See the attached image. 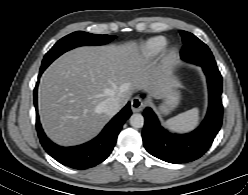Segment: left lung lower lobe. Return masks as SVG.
Listing matches in <instances>:
<instances>
[{
	"mask_svg": "<svg viewBox=\"0 0 248 195\" xmlns=\"http://www.w3.org/2000/svg\"><path fill=\"white\" fill-rule=\"evenodd\" d=\"M201 67L207 77L209 105L207 115L197 129L183 135L171 134L160 125L151 108L147 107L143 112L145 117L142 132L144 147L151 155L163 161L180 164L200 158L210 148L221 128L222 76L216 63H205Z\"/></svg>",
	"mask_w": 248,
	"mask_h": 195,
	"instance_id": "1",
	"label": "left lung lower lobe"
}]
</instances>
